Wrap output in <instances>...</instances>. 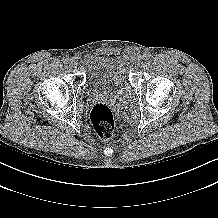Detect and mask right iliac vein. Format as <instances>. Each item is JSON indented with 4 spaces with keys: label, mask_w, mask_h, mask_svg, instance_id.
<instances>
[{
    "label": "right iliac vein",
    "mask_w": 218,
    "mask_h": 218,
    "mask_svg": "<svg viewBox=\"0 0 218 218\" xmlns=\"http://www.w3.org/2000/svg\"><path fill=\"white\" fill-rule=\"evenodd\" d=\"M69 64L71 65V66H73V67H75V66H77V61H76V59L75 58H70L69 59Z\"/></svg>",
    "instance_id": "63e3f726"
}]
</instances>
